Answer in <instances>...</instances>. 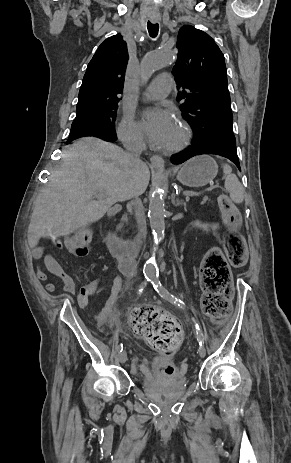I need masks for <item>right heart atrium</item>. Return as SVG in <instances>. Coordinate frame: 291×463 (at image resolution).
<instances>
[{
    "instance_id": "right-heart-atrium-1",
    "label": "right heart atrium",
    "mask_w": 291,
    "mask_h": 463,
    "mask_svg": "<svg viewBox=\"0 0 291 463\" xmlns=\"http://www.w3.org/2000/svg\"><path fill=\"white\" fill-rule=\"evenodd\" d=\"M119 136L127 143L140 144L143 142V134L139 124L132 115L126 114L119 126Z\"/></svg>"
}]
</instances>
